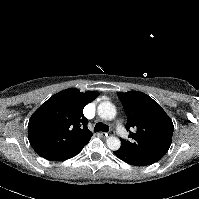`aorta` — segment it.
<instances>
[{"mask_svg":"<svg viewBox=\"0 0 199 199\" xmlns=\"http://www.w3.org/2000/svg\"><path fill=\"white\" fill-rule=\"evenodd\" d=\"M98 115L104 120H112L116 116V108L110 102H102L97 108ZM107 146L111 150H118L121 146V142L117 137H109L107 139Z\"/></svg>","mask_w":199,"mask_h":199,"instance_id":"obj_1","label":"aorta"}]
</instances>
